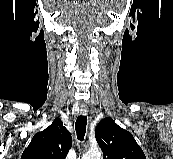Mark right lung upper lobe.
Returning <instances> with one entry per match:
<instances>
[{
  "label": "right lung upper lobe",
  "mask_w": 173,
  "mask_h": 159,
  "mask_svg": "<svg viewBox=\"0 0 173 159\" xmlns=\"http://www.w3.org/2000/svg\"><path fill=\"white\" fill-rule=\"evenodd\" d=\"M71 145V133L56 118L49 127L33 136L21 159H65Z\"/></svg>",
  "instance_id": "cb5924a9"
}]
</instances>
